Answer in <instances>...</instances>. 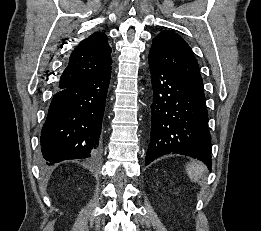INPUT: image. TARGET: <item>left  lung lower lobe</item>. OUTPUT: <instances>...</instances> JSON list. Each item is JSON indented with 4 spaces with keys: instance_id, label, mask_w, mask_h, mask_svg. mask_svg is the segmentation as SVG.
I'll use <instances>...</instances> for the list:
<instances>
[{
    "instance_id": "left-lung-lower-lobe-1",
    "label": "left lung lower lobe",
    "mask_w": 261,
    "mask_h": 231,
    "mask_svg": "<svg viewBox=\"0 0 261 231\" xmlns=\"http://www.w3.org/2000/svg\"><path fill=\"white\" fill-rule=\"evenodd\" d=\"M151 69L150 143L145 165L175 153L203 161L211 169V136L204 94L191 89L155 60Z\"/></svg>"
}]
</instances>
